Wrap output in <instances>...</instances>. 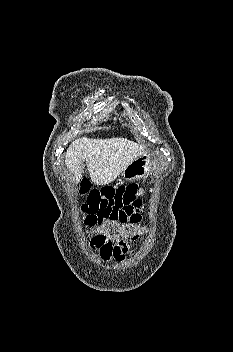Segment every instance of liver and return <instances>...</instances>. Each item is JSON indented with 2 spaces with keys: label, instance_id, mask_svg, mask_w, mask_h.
<instances>
[{
  "label": "liver",
  "instance_id": "6515ba94",
  "mask_svg": "<svg viewBox=\"0 0 233 352\" xmlns=\"http://www.w3.org/2000/svg\"><path fill=\"white\" fill-rule=\"evenodd\" d=\"M146 146L124 138L74 141L66 151L65 164L74 181L80 182L86 162L91 180L97 185L113 182L122 171L145 152Z\"/></svg>",
  "mask_w": 233,
  "mask_h": 352
}]
</instances>
